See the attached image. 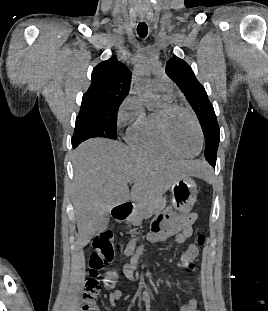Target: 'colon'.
Returning a JSON list of instances; mask_svg holds the SVG:
<instances>
[{
	"label": "colon",
	"instance_id": "obj_1",
	"mask_svg": "<svg viewBox=\"0 0 268 311\" xmlns=\"http://www.w3.org/2000/svg\"><path fill=\"white\" fill-rule=\"evenodd\" d=\"M205 237L200 234L196 241L189 245L181 255L179 265L186 269H192L197 260L200 248L204 245ZM93 251L89 256L90 277L87 279L83 292V305L81 311H99L97 297L101 290V283L106 288H111L116 282V274L110 273L103 280L98 278V270L112 263L115 258L116 249L112 242V231L101 232L93 240Z\"/></svg>",
	"mask_w": 268,
	"mask_h": 311
}]
</instances>
